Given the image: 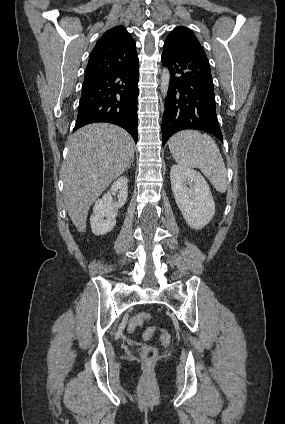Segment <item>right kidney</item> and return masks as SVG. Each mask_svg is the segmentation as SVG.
Returning a JSON list of instances; mask_svg holds the SVG:
<instances>
[{
  "label": "right kidney",
  "instance_id": "ca27d5eb",
  "mask_svg": "<svg viewBox=\"0 0 285 424\" xmlns=\"http://www.w3.org/2000/svg\"><path fill=\"white\" fill-rule=\"evenodd\" d=\"M117 193L118 201L115 203L112 195ZM127 197L128 179L120 177L112 184L110 191L95 202L93 213L90 217L91 229L95 235L107 234L114 228L118 209L126 203Z\"/></svg>",
  "mask_w": 285,
  "mask_h": 424
}]
</instances>
